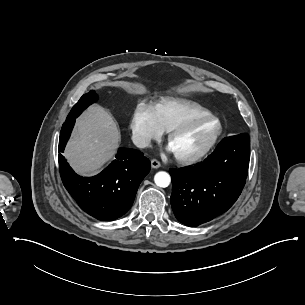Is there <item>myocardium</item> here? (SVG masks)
<instances>
[{"label": "myocardium", "mask_w": 305, "mask_h": 305, "mask_svg": "<svg viewBox=\"0 0 305 305\" xmlns=\"http://www.w3.org/2000/svg\"><path fill=\"white\" fill-rule=\"evenodd\" d=\"M208 119H215L219 123V129L215 134L212 141L203 149L198 150L192 153H176L174 152L175 159L181 164H193L202 160L203 158L207 157L210 153L214 151V149L219 145L221 142L224 134H225V124L223 120L215 113L210 112L204 115H200L194 118H190L185 120L178 126H176L169 134L168 137V144L172 149L174 142L191 126L201 123ZM173 150V149H172Z\"/></svg>", "instance_id": "f54148a6"}]
</instances>
